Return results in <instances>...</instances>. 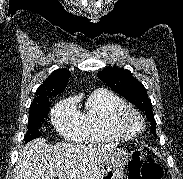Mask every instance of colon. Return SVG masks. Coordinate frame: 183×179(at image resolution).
Here are the masks:
<instances>
[{"instance_id":"colon-1","label":"colon","mask_w":183,"mask_h":179,"mask_svg":"<svg viewBox=\"0 0 183 179\" xmlns=\"http://www.w3.org/2000/svg\"><path fill=\"white\" fill-rule=\"evenodd\" d=\"M128 171V179H162L163 177L161 166L140 150L132 153Z\"/></svg>"}]
</instances>
